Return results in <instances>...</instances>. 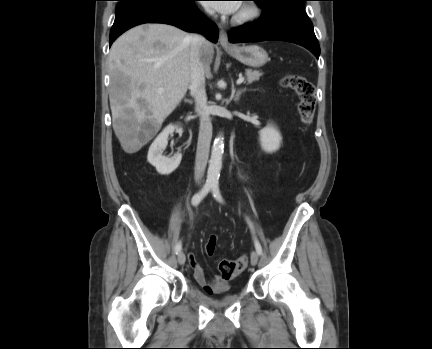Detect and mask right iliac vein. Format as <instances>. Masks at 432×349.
I'll list each match as a JSON object with an SVG mask.
<instances>
[{
	"label": "right iliac vein",
	"mask_w": 432,
	"mask_h": 349,
	"mask_svg": "<svg viewBox=\"0 0 432 349\" xmlns=\"http://www.w3.org/2000/svg\"><path fill=\"white\" fill-rule=\"evenodd\" d=\"M186 257L183 252H180L178 255V262L180 265H183L185 263Z\"/></svg>",
	"instance_id": "right-iliac-vein-1"
}]
</instances>
